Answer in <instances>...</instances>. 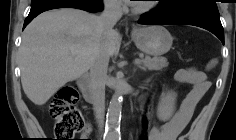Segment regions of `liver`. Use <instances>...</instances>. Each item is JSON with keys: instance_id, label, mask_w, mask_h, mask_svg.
<instances>
[{"instance_id": "6515ba94", "label": "liver", "mask_w": 236, "mask_h": 140, "mask_svg": "<svg viewBox=\"0 0 236 140\" xmlns=\"http://www.w3.org/2000/svg\"><path fill=\"white\" fill-rule=\"evenodd\" d=\"M120 44L117 31L104 34L97 15L72 8L44 12L22 35L23 90L35 105H44L66 83L88 72L100 53L112 56Z\"/></svg>"}]
</instances>
